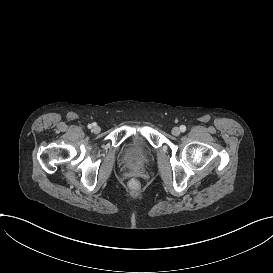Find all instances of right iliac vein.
<instances>
[{
	"mask_svg": "<svg viewBox=\"0 0 273 273\" xmlns=\"http://www.w3.org/2000/svg\"><path fill=\"white\" fill-rule=\"evenodd\" d=\"M100 131H101V129H100L99 126L96 125V126L93 127V132L94 133L98 134Z\"/></svg>",
	"mask_w": 273,
	"mask_h": 273,
	"instance_id": "63e3f726",
	"label": "right iliac vein"
}]
</instances>
